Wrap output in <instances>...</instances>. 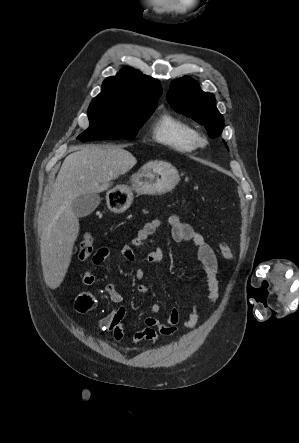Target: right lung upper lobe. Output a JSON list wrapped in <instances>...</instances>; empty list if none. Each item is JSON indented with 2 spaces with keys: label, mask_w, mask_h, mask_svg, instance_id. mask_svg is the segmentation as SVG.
I'll use <instances>...</instances> for the list:
<instances>
[{
  "label": "right lung upper lobe",
  "mask_w": 299,
  "mask_h": 443,
  "mask_svg": "<svg viewBox=\"0 0 299 443\" xmlns=\"http://www.w3.org/2000/svg\"><path fill=\"white\" fill-rule=\"evenodd\" d=\"M162 94L160 82L133 68L122 69L108 77L94 100L120 101L130 104H157Z\"/></svg>",
  "instance_id": "right-lung-upper-lobe-1"
}]
</instances>
